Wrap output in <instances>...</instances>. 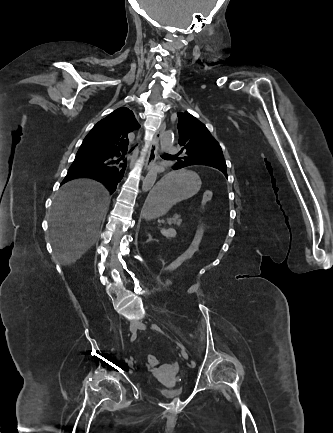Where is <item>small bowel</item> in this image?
<instances>
[{"mask_svg": "<svg viewBox=\"0 0 333 433\" xmlns=\"http://www.w3.org/2000/svg\"><path fill=\"white\" fill-rule=\"evenodd\" d=\"M177 275H178V273H175L174 275L168 277V278L165 280V285H166V286H171V285L173 284V282L175 281ZM198 292H199V286H198V285L191 286V287L188 289V293H189V294H196V293H198ZM150 371H151L153 374H155V375L157 374V369L152 368V369H150Z\"/></svg>", "mask_w": 333, "mask_h": 433, "instance_id": "c3829d8e", "label": "small bowel"}]
</instances>
